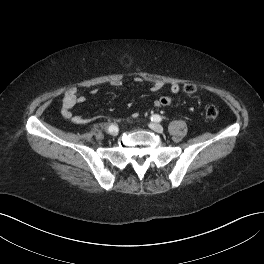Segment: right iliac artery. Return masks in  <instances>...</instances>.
<instances>
[{"instance_id": "1", "label": "right iliac artery", "mask_w": 264, "mask_h": 264, "mask_svg": "<svg viewBox=\"0 0 264 264\" xmlns=\"http://www.w3.org/2000/svg\"><path fill=\"white\" fill-rule=\"evenodd\" d=\"M115 128H116V126L111 124V125L108 126L107 130H108V132H112Z\"/></svg>"}]
</instances>
